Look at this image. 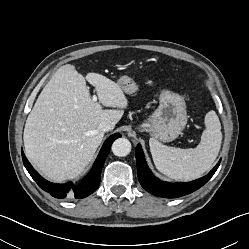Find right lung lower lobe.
Returning <instances> with one entry per match:
<instances>
[{
	"mask_svg": "<svg viewBox=\"0 0 249 249\" xmlns=\"http://www.w3.org/2000/svg\"><path fill=\"white\" fill-rule=\"evenodd\" d=\"M118 137H120L119 133L113 134L104 142L103 147L101 148L100 153L90 173L84 178L83 182L79 185H73V183L71 182L66 184H55L48 182L34 170V168L26 159L22 151L23 163L26 169L28 170L29 174L39 185V187L42 188L44 191L50 193L53 197H75L81 199L90 195L99 187L103 164L108 156L112 142Z\"/></svg>",
	"mask_w": 249,
	"mask_h": 249,
	"instance_id": "obj_1",
	"label": "right lung lower lobe"
}]
</instances>
